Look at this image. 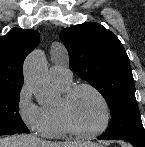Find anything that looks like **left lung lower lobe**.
Returning a JSON list of instances; mask_svg holds the SVG:
<instances>
[{"label":"left lung lower lobe","instance_id":"1","mask_svg":"<svg viewBox=\"0 0 145 147\" xmlns=\"http://www.w3.org/2000/svg\"><path fill=\"white\" fill-rule=\"evenodd\" d=\"M98 139H100V140H115V139H111L108 137H104L103 135L98 137ZM127 141H129L134 147H144V142H136L133 140H127Z\"/></svg>","mask_w":145,"mask_h":147}]
</instances>
